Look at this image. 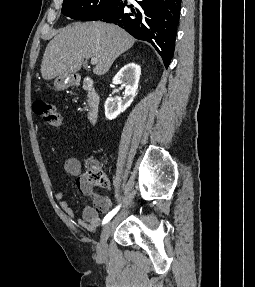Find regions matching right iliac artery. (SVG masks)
Instances as JSON below:
<instances>
[{
  "label": "right iliac artery",
  "mask_w": 255,
  "mask_h": 287,
  "mask_svg": "<svg viewBox=\"0 0 255 287\" xmlns=\"http://www.w3.org/2000/svg\"><path fill=\"white\" fill-rule=\"evenodd\" d=\"M119 207H120V206H117L115 209H113L111 212H109V213L105 216V218L103 219L102 224L107 223V222L117 213V211L119 210Z\"/></svg>",
  "instance_id": "obj_1"
}]
</instances>
